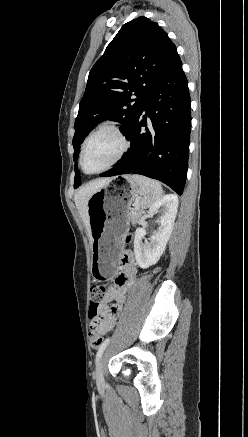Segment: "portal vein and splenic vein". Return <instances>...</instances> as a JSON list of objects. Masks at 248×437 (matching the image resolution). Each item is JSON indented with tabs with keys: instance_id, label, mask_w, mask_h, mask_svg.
I'll list each match as a JSON object with an SVG mask.
<instances>
[{
	"instance_id": "portal-vein-and-splenic-vein-1",
	"label": "portal vein and splenic vein",
	"mask_w": 248,
	"mask_h": 437,
	"mask_svg": "<svg viewBox=\"0 0 248 437\" xmlns=\"http://www.w3.org/2000/svg\"><path fill=\"white\" fill-rule=\"evenodd\" d=\"M135 208L138 209V205H135Z\"/></svg>"
}]
</instances>
